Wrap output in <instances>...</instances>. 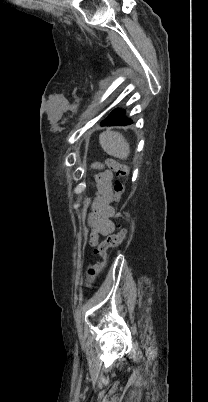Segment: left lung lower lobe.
Masks as SVG:
<instances>
[{
  "mask_svg": "<svg viewBox=\"0 0 208 402\" xmlns=\"http://www.w3.org/2000/svg\"><path fill=\"white\" fill-rule=\"evenodd\" d=\"M123 110H114L110 115L102 121L101 126H124L132 123L130 119H127Z\"/></svg>",
  "mask_w": 208,
  "mask_h": 402,
  "instance_id": "obj_1",
  "label": "left lung lower lobe"
}]
</instances>
